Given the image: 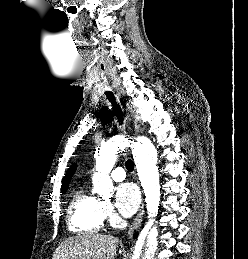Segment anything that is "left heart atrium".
<instances>
[{"instance_id":"1","label":"left heart atrium","mask_w":248,"mask_h":259,"mask_svg":"<svg viewBox=\"0 0 248 259\" xmlns=\"http://www.w3.org/2000/svg\"><path fill=\"white\" fill-rule=\"evenodd\" d=\"M115 204L118 211L125 217L135 213L140 202V195L135 185L122 183L115 191Z\"/></svg>"}]
</instances>
